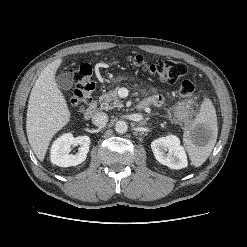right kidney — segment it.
<instances>
[{
  "label": "right kidney",
  "instance_id": "ca27d5eb",
  "mask_svg": "<svg viewBox=\"0 0 247 247\" xmlns=\"http://www.w3.org/2000/svg\"><path fill=\"white\" fill-rule=\"evenodd\" d=\"M72 145H80L77 154H69ZM90 138L88 136L73 137L71 133L64 134L57 138L50 150V160L60 167L77 166L85 161L89 151Z\"/></svg>",
  "mask_w": 247,
  "mask_h": 247
}]
</instances>
